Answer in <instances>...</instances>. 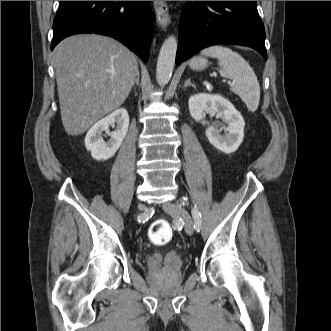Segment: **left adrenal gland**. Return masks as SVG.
<instances>
[{"label": "left adrenal gland", "instance_id": "obj_1", "mask_svg": "<svg viewBox=\"0 0 331 331\" xmlns=\"http://www.w3.org/2000/svg\"><path fill=\"white\" fill-rule=\"evenodd\" d=\"M187 86H192L195 88V85L191 83L190 78L186 80V82L184 84V88H186Z\"/></svg>", "mask_w": 331, "mask_h": 331}]
</instances>
